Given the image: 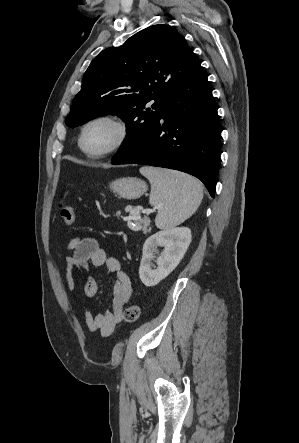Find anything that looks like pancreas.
<instances>
[{
    "label": "pancreas",
    "mask_w": 299,
    "mask_h": 443,
    "mask_svg": "<svg viewBox=\"0 0 299 443\" xmlns=\"http://www.w3.org/2000/svg\"><path fill=\"white\" fill-rule=\"evenodd\" d=\"M138 214L134 215V218L136 219V228L139 229L140 231H142L144 234H146L147 232H150L151 228H150V220L149 218L145 217L142 219H137Z\"/></svg>",
    "instance_id": "obj_1"
}]
</instances>
